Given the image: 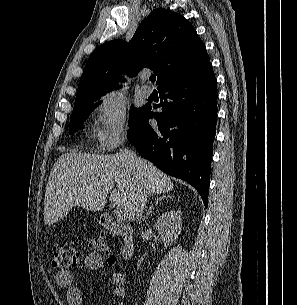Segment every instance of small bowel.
<instances>
[{"mask_svg":"<svg viewBox=\"0 0 297 305\" xmlns=\"http://www.w3.org/2000/svg\"><path fill=\"white\" fill-rule=\"evenodd\" d=\"M84 267L90 271L99 270L103 265V258L97 252H90L85 255L83 260ZM56 284L66 289V301L68 305H84L82 292L77 287L73 286V274L67 270L57 271L55 273ZM112 282L114 288L112 295L116 301V305H122L125 298V277L121 272H114L112 274Z\"/></svg>","mask_w":297,"mask_h":305,"instance_id":"obj_1","label":"small bowel"}]
</instances>
